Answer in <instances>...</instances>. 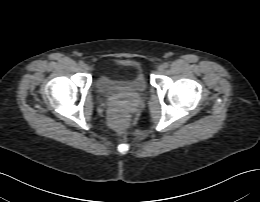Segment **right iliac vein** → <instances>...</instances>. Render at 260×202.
<instances>
[{"instance_id":"obj_1","label":"right iliac vein","mask_w":260,"mask_h":202,"mask_svg":"<svg viewBox=\"0 0 260 202\" xmlns=\"http://www.w3.org/2000/svg\"><path fill=\"white\" fill-rule=\"evenodd\" d=\"M82 68H83L84 71H88L89 70V66L87 64H84Z\"/></svg>"}]
</instances>
